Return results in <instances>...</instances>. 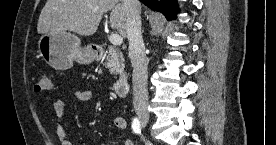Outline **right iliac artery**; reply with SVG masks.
<instances>
[{
  "label": "right iliac artery",
  "instance_id": "82829eb1",
  "mask_svg": "<svg viewBox=\"0 0 276 145\" xmlns=\"http://www.w3.org/2000/svg\"><path fill=\"white\" fill-rule=\"evenodd\" d=\"M131 127H132V130L134 133H136V134L141 133V125H140V121L138 118L133 119Z\"/></svg>",
  "mask_w": 276,
  "mask_h": 145
}]
</instances>
